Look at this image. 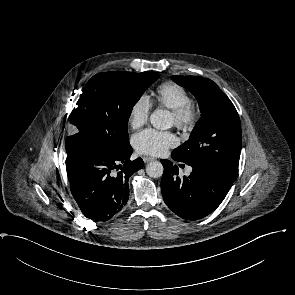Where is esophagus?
<instances>
[{
	"label": "esophagus",
	"instance_id": "esophagus-1",
	"mask_svg": "<svg viewBox=\"0 0 295 295\" xmlns=\"http://www.w3.org/2000/svg\"><path fill=\"white\" fill-rule=\"evenodd\" d=\"M154 160H155V158H153V157H149V156H144L143 157V161L145 163H149V162L154 161Z\"/></svg>",
	"mask_w": 295,
	"mask_h": 295
}]
</instances>
